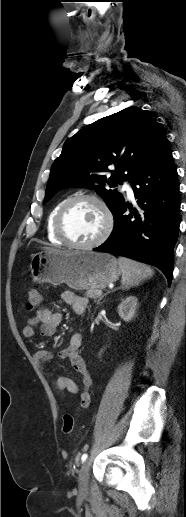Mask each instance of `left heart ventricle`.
<instances>
[{"mask_svg": "<svg viewBox=\"0 0 186 517\" xmlns=\"http://www.w3.org/2000/svg\"><path fill=\"white\" fill-rule=\"evenodd\" d=\"M103 227V213L99 206L91 201L76 203L67 213L64 223L67 236L77 243L95 240Z\"/></svg>", "mask_w": 186, "mask_h": 517, "instance_id": "obj_1", "label": "left heart ventricle"}]
</instances>
